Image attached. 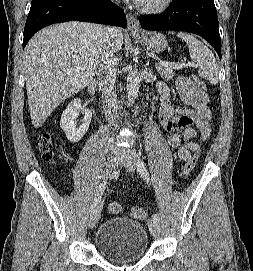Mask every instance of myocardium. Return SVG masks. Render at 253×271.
<instances>
[{"label":"myocardium","mask_w":253,"mask_h":271,"mask_svg":"<svg viewBox=\"0 0 253 271\" xmlns=\"http://www.w3.org/2000/svg\"><path fill=\"white\" fill-rule=\"evenodd\" d=\"M173 0H156L141 4L140 11L146 14H159L166 11L172 4Z\"/></svg>","instance_id":"1"}]
</instances>
